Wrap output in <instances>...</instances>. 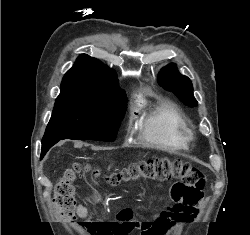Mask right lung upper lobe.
<instances>
[{"mask_svg": "<svg viewBox=\"0 0 250 235\" xmlns=\"http://www.w3.org/2000/svg\"><path fill=\"white\" fill-rule=\"evenodd\" d=\"M125 93L117 86L116 74L99 60L89 55H80L74 66L65 74L61 83L64 98H108Z\"/></svg>", "mask_w": 250, "mask_h": 235, "instance_id": "right-lung-upper-lobe-1", "label": "right lung upper lobe"}]
</instances>
